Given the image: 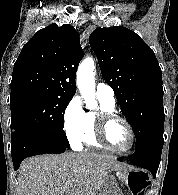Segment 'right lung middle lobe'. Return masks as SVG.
Returning a JSON list of instances; mask_svg holds the SVG:
<instances>
[{"mask_svg": "<svg viewBox=\"0 0 178 195\" xmlns=\"http://www.w3.org/2000/svg\"><path fill=\"white\" fill-rule=\"evenodd\" d=\"M73 96L23 92L10 97L12 136L18 133L55 131L67 140L64 112Z\"/></svg>", "mask_w": 178, "mask_h": 195, "instance_id": "dd1d6c3e", "label": "right lung middle lobe"}]
</instances>
